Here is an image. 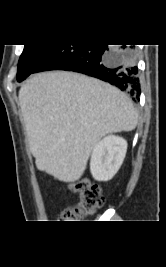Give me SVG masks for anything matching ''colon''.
<instances>
[{
    "label": "colon",
    "mask_w": 166,
    "mask_h": 267,
    "mask_svg": "<svg viewBox=\"0 0 166 267\" xmlns=\"http://www.w3.org/2000/svg\"><path fill=\"white\" fill-rule=\"evenodd\" d=\"M74 189L78 194V200L74 205L68 206L61 211L60 222H81L93 215L105 202L99 186L88 180L77 182L74 185Z\"/></svg>",
    "instance_id": "obj_1"
}]
</instances>
